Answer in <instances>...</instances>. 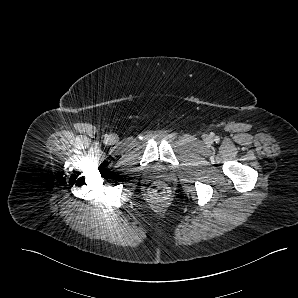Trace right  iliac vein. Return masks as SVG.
<instances>
[{
	"mask_svg": "<svg viewBox=\"0 0 298 298\" xmlns=\"http://www.w3.org/2000/svg\"><path fill=\"white\" fill-rule=\"evenodd\" d=\"M117 136H115V135H110L109 136V140H110V142H112V143H115L116 141H117Z\"/></svg>",
	"mask_w": 298,
	"mask_h": 298,
	"instance_id": "63e3f726",
	"label": "right iliac vein"
}]
</instances>
